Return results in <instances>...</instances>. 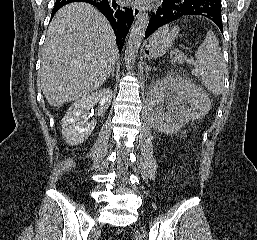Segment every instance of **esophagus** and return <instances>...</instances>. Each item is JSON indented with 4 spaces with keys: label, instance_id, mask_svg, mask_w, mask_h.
Wrapping results in <instances>:
<instances>
[{
    "label": "esophagus",
    "instance_id": "34e87169",
    "mask_svg": "<svg viewBox=\"0 0 257 240\" xmlns=\"http://www.w3.org/2000/svg\"><path fill=\"white\" fill-rule=\"evenodd\" d=\"M142 13V9L138 6L133 7V14L135 18H138L140 14Z\"/></svg>",
    "mask_w": 257,
    "mask_h": 240
}]
</instances>
